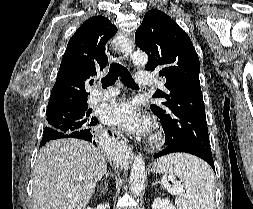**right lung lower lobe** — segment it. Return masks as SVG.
I'll list each match as a JSON object with an SVG mask.
<instances>
[{"mask_svg":"<svg viewBox=\"0 0 253 209\" xmlns=\"http://www.w3.org/2000/svg\"><path fill=\"white\" fill-rule=\"evenodd\" d=\"M98 123L99 122H98L97 118L95 117L93 122H92V126H89L86 129L74 131V132H71V133H60V132H58V133H56L55 136H52L51 138H54V137H58L57 139H60V138H78V139H83V140L92 142L96 145V142H95L96 132L94 131V128H95V126L98 125Z\"/></svg>","mask_w":253,"mask_h":209,"instance_id":"1","label":"right lung lower lobe"}]
</instances>
